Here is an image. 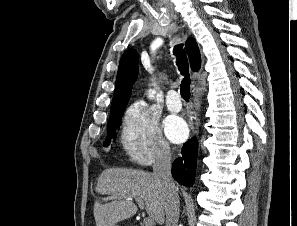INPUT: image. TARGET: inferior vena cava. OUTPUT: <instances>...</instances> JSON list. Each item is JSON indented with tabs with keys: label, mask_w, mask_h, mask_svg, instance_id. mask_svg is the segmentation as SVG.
Returning a JSON list of instances; mask_svg holds the SVG:
<instances>
[{
	"label": "inferior vena cava",
	"mask_w": 297,
	"mask_h": 226,
	"mask_svg": "<svg viewBox=\"0 0 297 226\" xmlns=\"http://www.w3.org/2000/svg\"><path fill=\"white\" fill-rule=\"evenodd\" d=\"M153 176L164 189L165 197V226H178L179 219V195L171 175V151L164 144L157 152L153 164Z\"/></svg>",
	"instance_id": "1"
}]
</instances>
